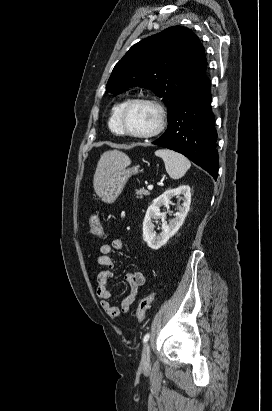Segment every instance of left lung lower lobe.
<instances>
[{"mask_svg": "<svg viewBox=\"0 0 272 411\" xmlns=\"http://www.w3.org/2000/svg\"><path fill=\"white\" fill-rule=\"evenodd\" d=\"M210 103L208 78L180 103L168 120L167 130L153 144L185 155L217 179L219 160L216 150L217 132Z\"/></svg>", "mask_w": 272, "mask_h": 411, "instance_id": "0a47b994", "label": "left lung lower lobe"}]
</instances>
